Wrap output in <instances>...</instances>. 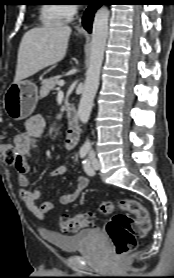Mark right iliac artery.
I'll use <instances>...</instances> for the list:
<instances>
[{
	"mask_svg": "<svg viewBox=\"0 0 174 278\" xmlns=\"http://www.w3.org/2000/svg\"><path fill=\"white\" fill-rule=\"evenodd\" d=\"M87 152H88L87 149L82 148V149L80 150V152H79L80 157H81V158H84V157L86 156Z\"/></svg>",
	"mask_w": 174,
	"mask_h": 278,
	"instance_id": "1",
	"label": "right iliac artery"
}]
</instances>
